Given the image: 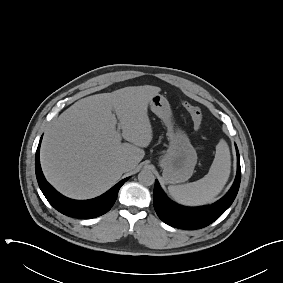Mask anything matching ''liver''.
Instances as JSON below:
<instances>
[{"label":"liver","instance_id":"1","mask_svg":"<svg viewBox=\"0 0 283 283\" xmlns=\"http://www.w3.org/2000/svg\"><path fill=\"white\" fill-rule=\"evenodd\" d=\"M160 91L130 86L88 96L66 109L43 137L40 160L47 180L74 199L106 192L124 173L120 164L128 162L130 171L144 158L141 148L153 138L148 104ZM121 136L129 143H122Z\"/></svg>","mask_w":283,"mask_h":283}]
</instances>
